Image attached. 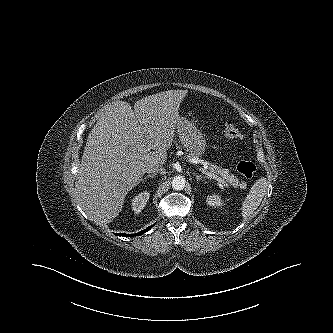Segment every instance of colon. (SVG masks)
<instances>
[{"mask_svg":"<svg viewBox=\"0 0 333 333\" xmlns=\"http://www.w3.org/2000/svg\"><path fill=\"white\" fill-rule=\"evenodd\" d=\"M223 135L228 140H233L240 137V131L232 123V121H226L224 124ZM239 173L247 179H251L257 170L255 163L248 160H241L237 165Z\"/></svg>","mask_w":333,"mask_h":333,"instance_id":"colon-1","label":"colon"}]
</instances>
